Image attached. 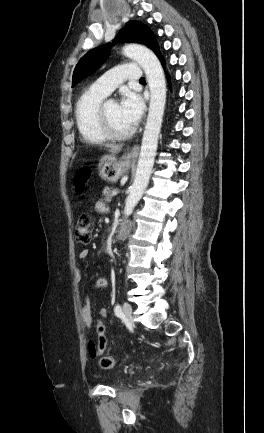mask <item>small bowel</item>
Here are the masks:
<instances>
[{
  "label": "small bowel",
  "instance_id": "small-bowel-1",
  "mask_svg": "<svg viewBox=\"0 0 264 433\" xmlns=\"http://www.w3.org/2000/svg\"><path fill=\"white\" fill-rule=\"evenodd\" d=\"M95 209H96V211L102 212V213L107 211V207L103 201H97L95 203ZM87 257H88V251L87 250H82L78 254V258L81 261H86ZM81 278H82V276H81L80 271H77V279L79 281H81ZM92 287L93 288L107 289V288H109V282L105 278H98L93 282ZM80 314H81V319H82L83 323L85 324V326L88 328L92 327L93 315H92V311H91L90 296L88 294H86L82 299ZM101 316L102 317L106 316V310L105 309L101 310ZM87 349H88V355L91 359H96L99 357L100 353H99L98 343H96L94 341H90L88 343Z\"/></svg>",
  "mask_w": 264,
  "mask_h": 433
}]
</instances>
